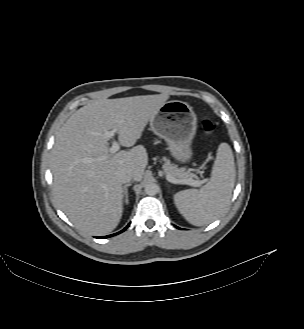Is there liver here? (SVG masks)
<instances>
[{"label": "liver", "instance_id": "liver-1", "mask_svg": "<svg viewBox=\"0 0 304 329\" xmlns=\"http://www.w3.org/2000/svg\"><path fill=\"white\" fill-rule=\"evenodd\" d=\"M168 99L158 94L93 101L60 128L51 156L53 192L78 229L91 235L114 230L123 212L124 188L118 174L129 170L139 182L148 164L142 145L111 154L104 133L117 128L119 143L134 146Z\"/></svg>", "mask_w": 304, "mask_h": 329}]
</instances>
